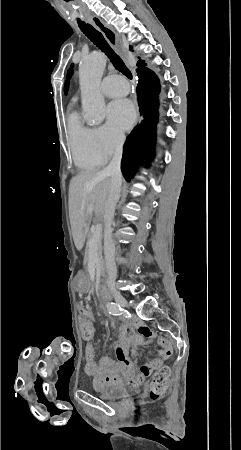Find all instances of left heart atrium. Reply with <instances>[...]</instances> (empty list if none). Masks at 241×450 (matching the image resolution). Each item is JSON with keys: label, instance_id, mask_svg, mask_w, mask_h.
<instances>
[{"label": "left heart atrium", "instance_id": "1", "mask_svg": "<svg viewBox=\"0 0 241 450\" xmlns=\"http://www.w3.org/2000/svg\"><path fill=\"white\" fill-rule=\"evenodd\" d=\"M136 113L132 102L129 99L121 98L116 102H111L108 107L109 126L117 131L128 130L135 122Z\"/></svg>", "mask_w": 241, "mask_h": 450}]
</instances>
